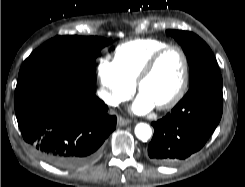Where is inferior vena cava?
Returning <instances> with one entry per match:
<instances>
[{"instance_id":"inferior-vena-cava-1","label":"inferior vena cava","mask_w":245,"mask_h":187,"mask_svg":"<svg viewBox=\"0 0 245 187\" xmlns=\"http://www.w3.org/2000/svg\"><path fill=\"white\" fill-rule=\"evenodd\" d=\"M101 92V91H100ZM98 92V94L100 93ZM106 100L109 102L110 105H116L117 104V101L111 99V98H106Z\"/></svg>"}]
</instances>
